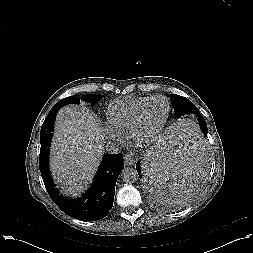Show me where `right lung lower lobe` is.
<instances>
[{
  "mask_svg": "<svg viewBox=\"0 0 253 253\" xmlns=\"http://www.w3.org/2000/svg\"><path fill=\"white\" fill-rule=\"evenodd\" d=\"M58 107H52L42 126L54 128ZM39 168L46 190L54 203L67 215L84 221L100 220L112 209L115 186L124 168L123 154H105L91 187L80 198L60 195L49 171V152L40 154Z\"/></svg>",
  "mask_w": 253,
  "mask_h": 253,
  "instance_id": "obj_1",
  "label": "right lung lower lobe"
}]
</instances>
